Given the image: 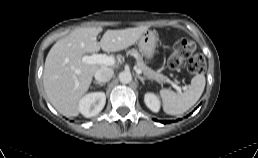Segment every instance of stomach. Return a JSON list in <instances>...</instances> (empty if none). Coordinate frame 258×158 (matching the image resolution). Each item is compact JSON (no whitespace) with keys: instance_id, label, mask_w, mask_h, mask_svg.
Returning <instances> with one entry per match:
<instances>
[{"instance_id":"1","label":"stomach","mask_w":258,"mask_h":158,"mask_svg":"<svg viewBox=\"0 0 258 158\" xmlns=\"http://www.w3.org/2000/svg\"><path fill=\"white\" fill-rule=\"evenodd\" d=\"M138 48L140 53L148 60H152L157 44V35L152 31L144 32L138 39Z\"/></svg>"}]
</instances>
